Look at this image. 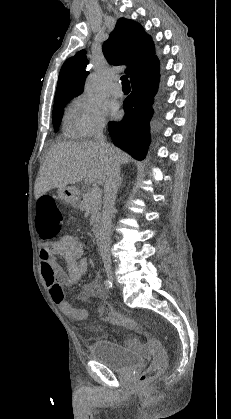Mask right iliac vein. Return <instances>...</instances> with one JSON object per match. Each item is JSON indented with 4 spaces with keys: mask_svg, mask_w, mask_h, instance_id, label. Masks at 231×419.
<instances>
[{
    "mask_svg": "<svg viewBox=\"0 0 231 419\" xmlns=\"http://www.w3.org/2000/svg\"><path fill=\"white\" fill-rule=\"evenodd\" d=\"M106 274H107L108 278H109L111 281H113V280H114V275H113V272H112V270H111L110 268H108V269L106 270Z\"/></svg>",
    "mask_w": 231,
    "mask_h": 419,
    "instance_id": "obj_1",
    "label": "right iliac vein"
}]
</instances>
